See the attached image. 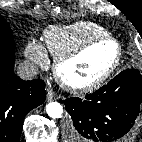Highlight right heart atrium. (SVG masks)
<instances>
[{"label":"right heart atrium","mask_w":142,"mask_h":142,"mask_svg":"<svg viewBox=\"0 0 142 142\" xmlns=\"http://www.w3.org/2000/svg\"><path fill=\"white\" fill-rule=\"evenodd\" d=\"M25 56L33 64L39 66H44L48 62V57L43 46L36 41H31L27 44L25 49Z\"/></svg>","instance_id":"right-heart-atrium-1"}]
</instances>
